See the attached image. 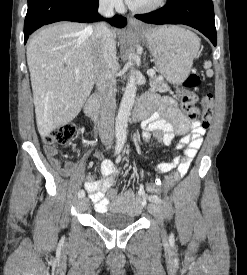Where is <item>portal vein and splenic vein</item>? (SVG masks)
<instances>
[{
	"label": "portal vein and splenic vein",
	"mask_w": 247,
	"mask_h": 275,
	"mask_svg": "<svg viewBox=\"0 0 247 275\" xmlns=\"http://www.w3.org/2000/svg\"><path fill=\"white\" fill-rule=\"evenodd\" d=\"M74 71L79 72L80 70L75 69ZM147 75L150 76V77H153L155 75V71L153 69H150V70L147 71Z\"/></svg>",
	"instance_id": "portal-vein-and-splenic-vein-1"
}]
</instances>
